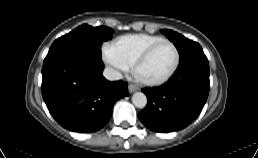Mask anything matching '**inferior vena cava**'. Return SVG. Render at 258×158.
Returning a JSON list of instances; mask_svg holds the SVG:
<instances>
[{"label":"inferior vena cava","instance_id":"602c4592","mask_svg":"<svg viewBox=\"0 0 258 158\" xmlns=\"http://www.w3.org/2000/svg\"><path fill=\"white\" fill-rule=\"evenodd\" d=\"M103 76L110 81L119 80L122 78V75L117 70L111 67H106L104 69Z\"/></svg>","mask_w":258,"mask_h":158}]
</instances>
